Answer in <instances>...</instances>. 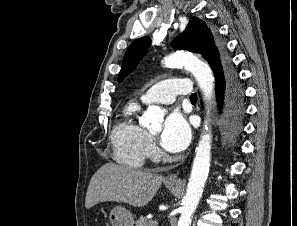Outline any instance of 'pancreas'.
Returning <instances> with one entry per match:
<instances>
[{"label":"pancreas","mask_w":297,"mask_h":226,"mask_svg":"<svg viewBox=\"0 0 297 226\" xmlns=\"http://www.w3.org/2000/svg\"><path fill=\"white\" fill-rule=\"evenodd\" d=\"M135 226H157L153 220H148L146 217L141 216L135 223Z\"/></svg>","instance_id":"1"}]
</instances>
